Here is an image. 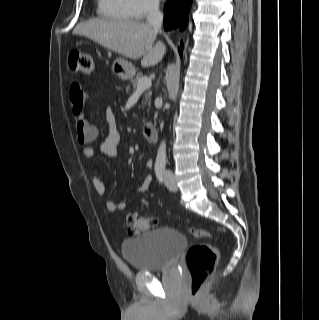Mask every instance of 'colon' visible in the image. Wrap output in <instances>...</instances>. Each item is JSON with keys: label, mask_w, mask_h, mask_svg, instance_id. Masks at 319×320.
I'll return each instance as SVG.
<instances>
[{"label": "colon", "mask_w": 319, "mask_h": 320, "mask_svg": "<svg viewBox=\"0 0 319 320\" xmlns=\"http://www.w3.org/2000/svg\"><path fill=\"white\" fill-rule=\"evenodd\" d=\"M69 66L71 70L82 76H90L94 69L93 57L84 52L74 50L70 53ZM75 136L79 143L85 144L94 139V131L88 127L83 118H74ZM128 230L134 234H140L158 225V218L151 215L129 214L127 217ZM192 237L197 239L207 238L214 240V235L199 228L189 230ZM218 260V248L211 243L197 244L189 248L186 253V265L191 276L189 293L192 297L201 295V289L206 280L215 271Z\"/></svg>", "instance_id": "1"}]
</instances>
